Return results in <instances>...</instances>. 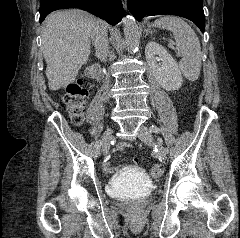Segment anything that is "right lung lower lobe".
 <instances>
[{
	"label": "right lung lower lobe",
	"instance_id": "right-lung-lower-lobe-1",
	"mask_svg": "<svg viewBox=\"0 0 240 238\" xmlns=\"http://www.w3.org/2000/svg\"><path fill=\"white\" fill-rule=\"evenodd\" d=\"M74 7L89 11L112 25L120 22L123 17L121 0H40L39 22L42 23L52 11Z\"/></svg>",
	"mask_w": 240,
	"mask_h": 238
}]
</instances>
